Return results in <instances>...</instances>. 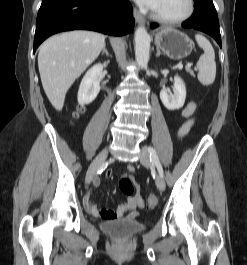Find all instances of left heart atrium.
I'll use <instances>...</instances> for the list:
<instances>
[{
  "label": "left heart atrium",
  "mask_w": 247,
  "mask_h": 265,
  "mask_svg": "<svg viewBox=\"0 0 247 265\" xmlns=\"http://www.w3.org/2000/svg\"><path fill=\"white\" fill-rule=\"evenodd\" d=\"M140 6L153 9L158 0H135Z\"/></svg>",
  "instance_id": "39dd6f15"
}]
</instances>
